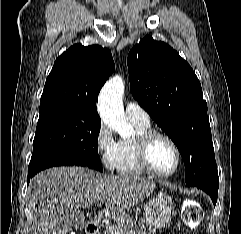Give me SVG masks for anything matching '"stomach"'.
<instances>
[{
	"instance_id": "0dacf381",
	"label": "stomach",
	"mask_w": 241,
	"mask_h": 234,
	"mask_svg": "<svg viewBox=\"0 0 241 234\" xmlns=\"http://www.w3.org/2000/svg\"><path fill=\"white\" fill-rule=\"evenodd\" d=\"M174 206L166 197L158 195L150 198L144 206V221L150 231L165 227L171 220ZM123 228L128 227V222L118 220Z\"/></svg>"
}]
</instances>
